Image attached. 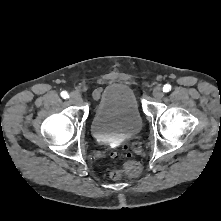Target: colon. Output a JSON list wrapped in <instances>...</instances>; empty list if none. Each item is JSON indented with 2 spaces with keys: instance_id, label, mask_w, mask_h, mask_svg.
<instances>
[{
  "instance_id": "1",
  "label": "colon",
  "mask_w": 221,
  "mask_h": 221,
  "mask_svg": "<svg viewBox=\"0 0 221 221\" xmlns=\"http://www.w3.org/2000/svg\"><path fill=\"white\" fill-rule=\"evenodd\" d=\"M141 172L140 164L130 158H127L126 161L123 163L121 170H115L111 173V177L113 179H119L122 174L127 176H137Z\"/></svg>"
}]
</instances>
